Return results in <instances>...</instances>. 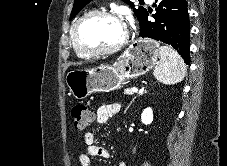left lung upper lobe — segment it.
Returning a JSON list of instances; mask_svg holds the SVG:
<instances>
[{"mask_svg": "<svg viewBox=\"0 0 227 166\" xmlns=\"http://www.w3.org/2000/svg\"><path fill=\"white\" fill-rule=\"evenodd\" d=\"M90 1L92 0H75L74 1V6H73V9H72V12H71V15H70V20L73 19L79 12L80 10L85 6L87 5ZM125 2H127L128 4H132L129 0H123ZM133 7V6H132ZM135 15L137 16L138 20H139V23L142 22L147 10L143 7H139V8H134L133 9Z\"/></svg>", "mask_w": 227, "mask_h": 166, "instance_id": "1", "label": "left lung upper lobe"}]
</instances>
